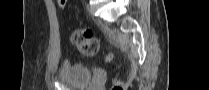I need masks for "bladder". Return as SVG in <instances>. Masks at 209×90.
<instances>
[{
  "label": "bladder",
  "mask_w": 209,
  "mask_h": 90,
  "mask_svg": "<svg viewBox=\"0 0 209 90\" xmlns=\"http://www.w3.org/2000/svg\"><path fill=\"white\" fill-rule=\"evenodd\" d=\"M60 77L72 85L87 87L91 82V71L85 64L64 59L60 64Z\"/></svg>",
  "instance_id": "1"
}]
</instances>
